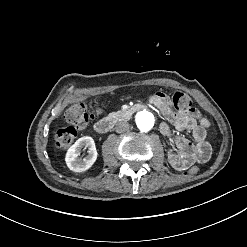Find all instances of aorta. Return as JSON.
<instances>
[{
  "label": "aorta",
  "mask_w": 247,
  "mask_h": 247,
  "mask_svg": "<svg viewBox=\"0 0 247 247\" xmlns=\"http://www.w3.org/2000/svg\"><path fill=\"white\" fill-rule=\"evenodd\" d=\"M136 123L142 132H147L154 126V116L147 111H141L136 116Z\"/></svg>",
  "instance_id": "1"
}]
</instances>
